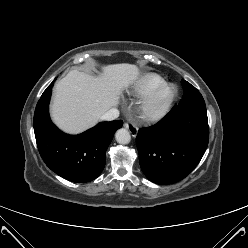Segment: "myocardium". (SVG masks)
<instances>
[{
  "label": "myocardium",
  "mask_w": 248,
  "mask_h": 248,
  "mask_svg": "<svg viewBox=\"0 0 248 248\" xmlns=\"http://www.w3.org/2000/svg\"><path fill=\"white\" fill-rule=\"evenodd\" d=\"M169 90L170 94L166 100L160 101L163 91ZM177 97V88L170 83L163 82L155 87L142 100V112L144 117L150 121H158L164 118L171 110Z\"/></svg>",
  "instance_id": "obj_1"
}]
</instances>
